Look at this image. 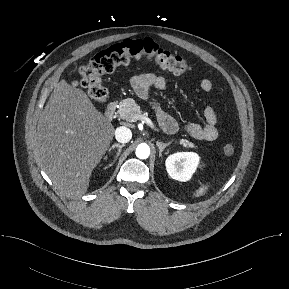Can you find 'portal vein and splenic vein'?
Returning <instances> with one entry per match:
<instances>
[{
  "label": "portal vein and splenic vein",
  "instance_id": "18ae733b",
  "mask_svg": "<svg viewBox=\"0 0 289 289\" xmlns=\"http://www.w3.org/2000/svg\"><path fill=\"white\" fill-rule=\"evenodd\" d=\"M136 120H141L143 122H145L147 125H149L150 127L154 128L155 125L154 123L152 122V120L150 118H148L146 115H136L134 117V119L132 120L133 121H136Z\"/></svg>",
  "mask_w": 289,
  "mask_h": 289
}]
</instances>
